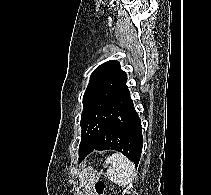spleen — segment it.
<instances>
[{"label":"spleen","mask_w":211,"mask_h":195,"mask_svg":"<svg viewBox=\"0 0 211 195\" xmlns=\"http://www.w3.org/2000/svg\"><path fill=\"white\" fill-rule=\"evenodd\" d=\"M106 164H110L107 176L112 182L121 186H126L132 182L135 176L134 164L124 155L114 153L106 159Z\"/></svg>","instance_id":"1"}]
</instances>
